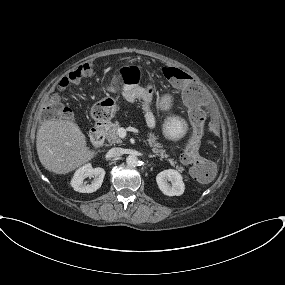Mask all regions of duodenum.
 <instances>
[{
	"instance_id": "obj_1",
	"label": "duodenum",
	"mask_w": 285,
	"mask_h": 285,
	"mask_svg": "<svg viewBox=\"0 0 285 285\" xmlns=\"http://www.w3.org/2000/svg\"><path fill=\"white\" fill-rule=\"evenodd\" d=\"M106 126H94L90 132L91 142L98 146L103 143L105 139Z\"/></svg>"
}]
</instances>
